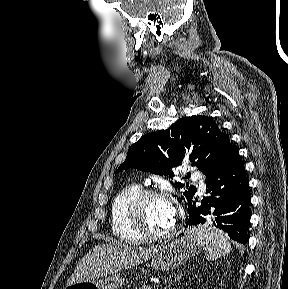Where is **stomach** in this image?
Returning a JSON list of instances; mask_svg holds the SVG:
<instances>
[{
	"mask_svg": "<svg viewBox=\"0 0 288 289\" xmlns=\"http://www.w3.org/2000/svg\"><path fill=\"white\" fill-rule=\"evenodd\" d=\"M201 248V243L187 230L182 237L162 245L151 257L148 266L160 271L176 269L186 260L197 255ZM124 283L125 278L115 273L98 280L74 283L67 286L66 289H119Z\"/></svg>",
	"mask_w": 288,
	"mask_h": 289,
	"instance_id": "obj_1",
	"label": "stomach"
}]
</instances>
